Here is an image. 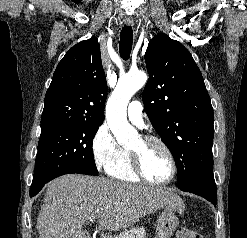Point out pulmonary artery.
Masks as SVG:
<instances>
[{
    "instance_id": "1",
    "label": "pulmonary artery",
    "mask_w": 247,
    "mask_h": 238,
    "mask_svg": "<svg viewBox=\"0 0 247 238\" xmlns=\"http://www.w3.org/2000/svg\"><path fill=\"white\" fill-rule=\"evenodd\" d=\"M142 105L139 101H132L127 108V115L129 120L135 125L143 126Z\"/></svg>"
}]
</instances>
